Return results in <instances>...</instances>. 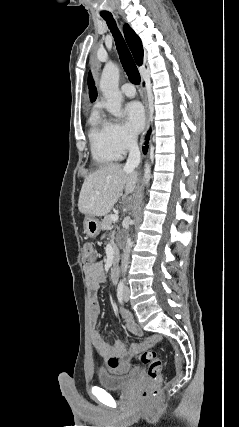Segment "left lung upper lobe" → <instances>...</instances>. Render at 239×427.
Listing matches in <instances>:
<instances>
[{"label":"left lung upper lobe","mask_w":239,"mask_h":427,"mask_svg":"<svg viewBox=\"0 0 239 427\" xmlns=\"http://www.w3.org/2000/svg\"><path fill=\"white\" fill-rule=\"evenodd\" d=\"M88 86H89L90 100L91 101H95V99L97 97V89L95 87V84H94V81L92 79L91 73H89V76H88Z\"/></svg>","instance_id":"left-lung-upper-lobe-1"}]
</instances>
